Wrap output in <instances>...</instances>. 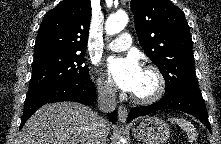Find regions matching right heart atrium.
<instances>
[{
  "label": "right heart atrium",
  "mask_w": 221,
  "mask_h": 144,
  "mask_svg": "<svg viewBox=\"0 0 221 144\" xmlns=\"http://www.w3.org/2000/svg\"><path fill=\"white\" fill-rule=\"evenodd\" d=\"M97 88L99 93L107 98L112 97L115 92L113 83L109 79H105L101 76L97 77Z\"/></svg>",
  "instance_id": "1"
}]
</instances>
